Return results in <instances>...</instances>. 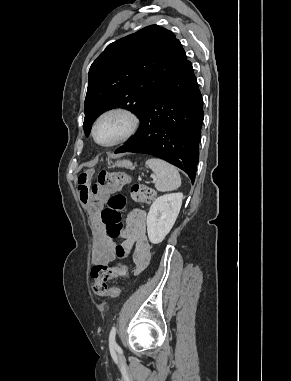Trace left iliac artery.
Wrapping results in <instances>:
<instances>
[{
  "label": "left iliac artery",
  "instance_id": "left-iliac-artery-1",
  "mask_svg": "<svg viewBox=\"0 0 291 381\" xmlns=\"http://www.w3.org/2000/svg\"><path fill=\"white\" fill-rule=\"evenodd\" d=\"M115 336H116V327H112L111 331H110V335H109V346L111 348H116L118 345L115 341Z\"/></svg>",
  "mask_w": 291,
  "mask_h": 381
}]
</instances>
